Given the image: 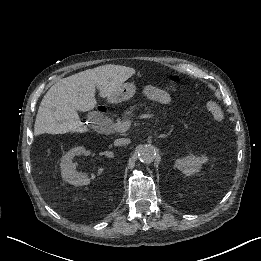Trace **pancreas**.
Returning <instances> with one entry per match:
<instances>
[{"label": "pancreas", "instance_id": "pancreas-1", "mask_svg": "<svg viewBox=\"0 0 261 261\" xmlns=\"http://www.w3.org/2000/svg\"><path fill=\"white\" fill-rule=\"evenodd\" d=\"M146 106L144 104H138L136 107L125 106L123 110L119 113V116L124 121H130L134 117V113L144 111Z\"/></svg>", "mask_w": 261, "mask_h": 261}]
</instances>
